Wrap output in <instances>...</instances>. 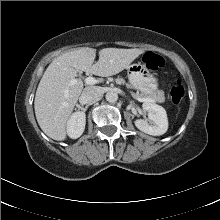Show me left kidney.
Returning <instances> with one entry per match:
<instances>
[{
	"mask_svg": "<svg viewBox=\"0 0 220 220\" xmlns=\"http://www.w3.org/2000/svg\"><path fill=\"white\" fill-rule=\"evenodd\" d=\"M143 110L148 112L150 123L145 120H136L135 126L144 133L153 136H160L166 133L168 129V118L165 109L155 103L145 102L142 105Z\"/></svg>",
	"mask_w": 220,
	"mask_h": 220,
	"instance_id": "left-kidney-1",
	"label": "left kidney"
}]
</instances>
